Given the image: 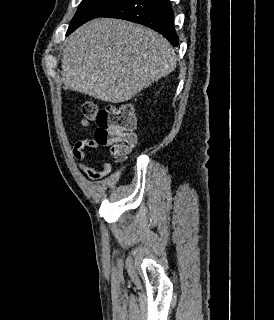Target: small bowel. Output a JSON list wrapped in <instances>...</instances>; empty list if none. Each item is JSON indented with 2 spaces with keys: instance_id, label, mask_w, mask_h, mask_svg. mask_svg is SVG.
Here are the masks:
<instances>
[{
  "instance_id": "small-bowel-1",
  "label": "small bowel",
  "mask_w": 274,
  "mask_h": 320,
  "mask_svg": "<svg viewBox=\"0 0 274 320\" xmlns=\"http://www.w3.org/2000/svg\"><path fill=\"white\" fill-rule=\"evenodd\" d=\"M98 146V140L82 139L76 142L73 149V157L77 161L79 169L89 178L95 180L109 176L112 170V166L110 163H104L100 171H97L83 163L84 159L86 158V149Z\"/></svg>"
}]
</instances>
